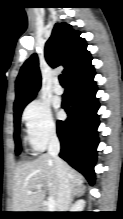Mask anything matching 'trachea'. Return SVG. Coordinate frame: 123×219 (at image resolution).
I'll use <instances>...</instances> for the list:
<instances>
[{"mask_svg":"<svg viewBox=\"0 0 123 219\" xmlns=\"http://www.w3.org/2000/svg\"><path fill=\"white\" fill-rule=\"evenodd\" d=\"M59 80H60L61 85L63 86L66 85V78L64 75H60Z\"/></svg>","mask_w":123,"mask_h":219,"instance_id":"trachea-1","label":"trachea"}]
</instances>
